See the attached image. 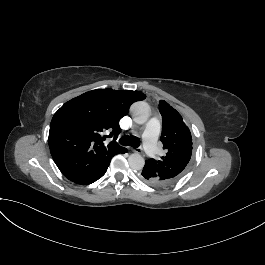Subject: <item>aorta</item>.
Returning <instances> with one entry per match:
<instances>
[{
  "mask_svg": "<svg viewBox=\"0 0 265 265\" xmlns=\"http://www.w3.org/2000/svg\"><path fill=\"white\" fill-rule=\"evenodd\" d=\"M133 119L138 124L145 123L150 117L149 106L145 102H136L130 108ZM129 166L133 170H142L145 166V159L138 153L131 154L128 158Z\"/></svg>",
  "mask_w": 265,
  "mask_h": 265,
  "instance_id": "762f6f07",
  "label": "aorta"
}]
</instances>
